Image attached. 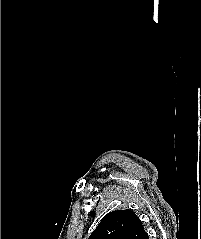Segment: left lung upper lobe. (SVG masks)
<instances>
[{
	"label": "left lung upper lobe",
	"instance_id": "left-lung-upper-lobe-1",
	"mask_svg": "<svg viewBox=\"0 0 201 239\" xmlns=\"http://www.w3.org/2000/svg\"><path fill=\"white\" fill-rule=\"evenodd\" d=\"M88 239H149L140 219L131 210L105 215Z\"/></svg>",
	"mask_w": 201,
	"mask_h": 239
}]
</instances>
